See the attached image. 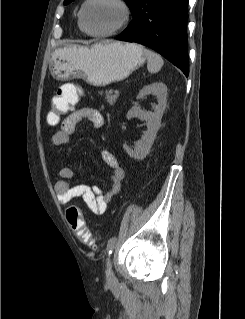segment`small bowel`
<instances>
[{
    "instance_id": "c3829d8e",
    "label": "small bowel",
    "mask_w": 245,
    "mask_h": 319,
    "mask_svg": "<svg viewBox=\"0 0 245 319\" xmlns=\"http://www.w3.org/2000/svg\"><path fill=\"white\" fill-rule=\"evenodd\" d=\"M74 90H76L74 84L65 83L57 92L73 93ZM83 119L91 122L96 129L101 128L104 124V117L98 109L92 106H85L73 111L61 122L60 129L52 137V144L55 146H67L75 133L77 124ZM102 158L111 168L110 186L106 191H103L98 185H72L71 180L74 177L73 169L68 166L60 168V180L55 185V191L58 202L61 205L67 204L76 197H82L84 204L94 214L100 215L106 211L109 203L121 192L125 173L111 151L107 149L102 150Z\"/></svg>"
}]
</instances>
